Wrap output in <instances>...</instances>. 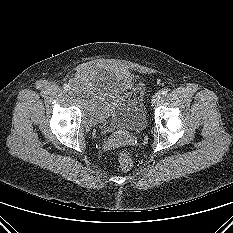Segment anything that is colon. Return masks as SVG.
Instances as JSON below:
<instances>
[{
  "instance_id": "5ec220e1",
  "label": "colon",
  "mask_w": 233,
  "mask_h": 233,
  "mask_svg": "<svg viewBox=\"0 0 233 233\" xmlns=\"http://www.w3.org/2000/svg\"><path fill=\"white\" fill-rule=\"evenodd\" d=\"M132 166V160L126 151H120L117 154V169L119 171H128Z\"/></svg>"
}]
</instances>
